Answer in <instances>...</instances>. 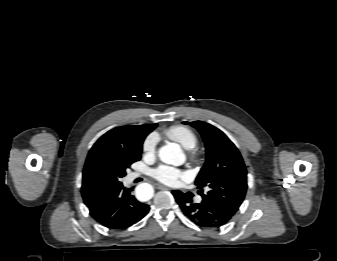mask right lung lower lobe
<instances>
[{"instance_id": "obj_1", "label": "right lung lower lobe", "mask_w": 337, "mask_h": 261, "mask_svg": "<svg viewBox=\"0 0 337 261\" xmlns=\"http://www.w3.org/2000/svg\"><path fill=\"white\" fill-rule=\"evenodd\" d=\"M131 191L122 183L107 191L88 207L91 216L109 229H126L137 223L150 207L137 201Z\"/></svg>"}]
</instances>
